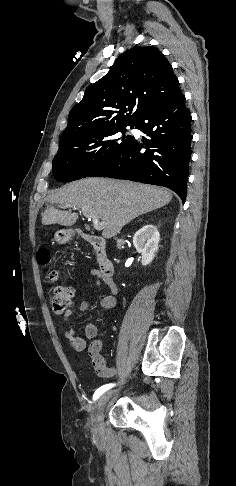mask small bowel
Listing matches in <instances>:
<instances>
[{"label":"small bowel","instance_id":"small-bowel-1","mask_svg":"<svg viewBox=\"0 0 236 486\" xmlns=\"http://www.w3.org/2000/svg\"><path fill=\"white\" fill-rule=\"evenodd\" d=\"M92 275L95 277L97 284L104 283L109 287L110 295L103 297L100 300V305L103 308H113L116 304L115 296L118 292L117 286L115 285L112 278H106L100 274V272L96 269L91 271ZM89 307L88 299H84L79 305V311L84 312ZM72 310H67L63 314V319L67 324V328L65 330V337L69 341L70 345L73 347L74 350L81 352L84 351L87 347L86 341L79 337L76 333L72 322ZM97 326L94 323H88L85 326V336L88 339H93L97 335ZM101 341L95 340L93 341L88 347V353L91 357L93 367L96 373L102 378H110L112 377L116 369L114 367H108L105 364L104 358L100 354L101 349Z\"/></svg>","mask_w":236,"mask_h":486}]
</instances>
